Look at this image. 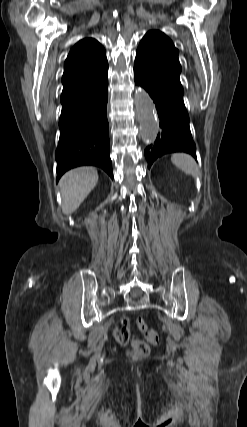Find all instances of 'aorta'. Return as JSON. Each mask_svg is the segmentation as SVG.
I'll use <instances>...</instances> for the list:
<instances>
[{
	"label": "aorta",
	"instance_id": "762f6f07",
	"mask_svg": "<svg viewBox=\"0 0 247 427\" xmlns=\"http://www.w3.org/2000/svg\"><path fill=\"white\" fill-rule=\"evenodd\" d=\"M134 101L140 123L141 138L144 143L152 144L159 130L155 105L148 93L142 88L135 90Z\"/></svg>",
	"mask_w": 247,
	"mask_h": 427
}]
</instances>
